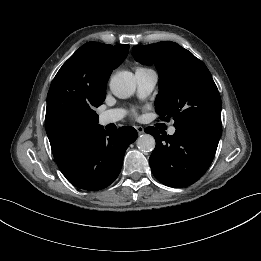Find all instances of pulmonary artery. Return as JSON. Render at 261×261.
Here are the masks:
<instances>
[{
    "label": "pulmonary artery",
    "instance_id": "pulmonary-artery-1",
    "mask_svg": "<svg viewBox=\"0 0 261 261\" xmlns=\"http://www.w3.org/2000/svg\"><path fill=\"white\" fill-rule=\"evenodd\" d=\"M137 85H138V93L141 97H146L149 95L156 83H157V75L153 70L147 71H139L135 74ZM125 115V111L122 109H111L107 110L100 114L99 122L102 125H108L111 123H116L120 121ZM176 131L174 126H171L168 130L170 135H173Z\"/></svg>",
    "mask_w": 261,
    "mask_h": 261
}]
</instances>
